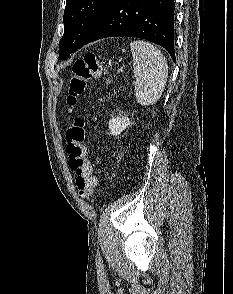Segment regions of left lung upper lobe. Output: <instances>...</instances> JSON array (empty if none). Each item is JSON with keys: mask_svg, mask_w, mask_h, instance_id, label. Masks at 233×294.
<instances>
[{"mask_svg": "<svg viewBox=\"0 0 233 294\" xmlns=\"http://www.w3.org/2000/svg\"><path fill=\"white\" fill-rule=\"evenodd\" d=\"M111 0H67L64 35L59 42L61 60L80 49Z\"/></svg>", "mask_w": 233, "mask_h": 294, "instance_id": "1", "label": "left lung upper lobe"}]
</instances>
